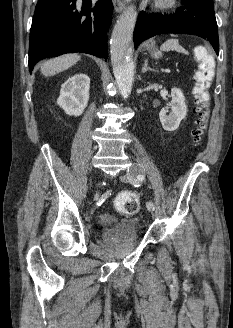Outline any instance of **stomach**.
Masks as SVG:
<instances>
[{
	"mask_svg": "<svg viewBox=\"0 0 233 328\" xmlns=\"http://www.w3.org/2000/svg\"><path fill=\"white\" fill-rule=\"evenodd\" d=\"M151 49H152V52H151V54H152V56L154 57V58H159L160 57V52L159 51H157L156 49H155V46L153 45V44H151Z\"/></svg>",
	"mask_w": 233,
	"mask_h": 328,
	"instance_id": "0dacf381",
	"label": "stomach"
}]
</instances>
